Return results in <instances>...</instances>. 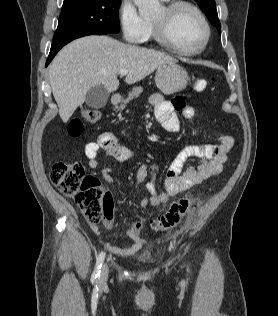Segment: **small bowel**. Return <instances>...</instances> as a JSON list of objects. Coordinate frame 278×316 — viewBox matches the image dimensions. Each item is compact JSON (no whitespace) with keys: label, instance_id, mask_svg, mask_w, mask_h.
I'll use <instances>...</instances> for the list:
<instances>
[{"label":"small bowel","instance_id":"small-bowel-1","mask_svg":"<svg viewBox=\"0 0 278 316\" xmlns=\"http://www.w3.org/2000/svg\"><path fill=\"white\" fill-rule=\"evenodd\" d=\"M150 102L154 106V114L157 121L168 132H178L180 122L177 112H181L184 118L192 119L195 116V109L185 101L177 97L172 101H166L160 94H153ZM218 143L206 144L201 146H189L180 150L171 161L164 180L165 192L159 193L155 186V171L148 164H142L137 170V182L145 184L148 196L140 201L141 207L148 205L158 207L166 203L170 197L178 195L194 186L207 183L216 175L220 174L227 161L228 153L234 144V138L228 134H219ZM103 150L108 156L117 162H126L134 157L131 148L121 145L115 135L110 132L102 133L96 141L88 142L85 145L84 153L91 169L98 167L97 155ZM189 158H196L198 163L186 169L184 163ZM112 169L105 167L101 174L105 182H112ZM115 204L110 193H106L103 208V225L107 230H112L114 222ZM143 221L128 224L126 233L131 243L119 246L114 243H106V247L114 254L127 256L140 250L146 243L141 235ZM92 231L99 236V229L91 224Z\"/></svg>","mask_w":278,"mask_h":316}]
</instances>
